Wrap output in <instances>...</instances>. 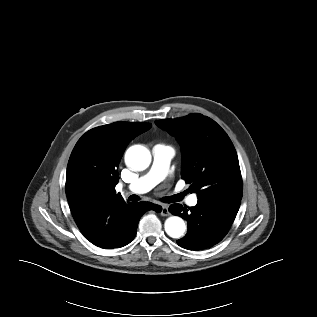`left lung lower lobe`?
Masks as SVG:
<instances>
[{"label":"left lung lower lobe","mask_w":317,"mask_h":317,"mask_svg":"<svg viewBox=\"0 0 317 317\" xmlns=\"http://www.w3.org/2000/svg\"><path fill=\"white\" fill-rule=\"evenodd\" d=\"M240 202L235 199L198 198L197 205L191 208L172 204L169 211L186 219L188 225L187 234L177 241L178 245L199 251L219 243L231 227Z\"/></svg>","instance_id":"left-lung-lower-lobe-1"}]
</instances>
